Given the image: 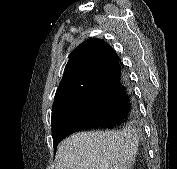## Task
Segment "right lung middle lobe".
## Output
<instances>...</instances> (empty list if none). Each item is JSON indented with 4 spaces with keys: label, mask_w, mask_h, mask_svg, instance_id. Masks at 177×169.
Masks as SVG:
<instances>
[{
    "label": "right lung middle lobe",
    "mask_w": 177,
    "mask_h": 169,
    "mask_svg": "<svg viewBox=\"0 0 177 169\" xmlns=\"http://www.w3.org/2000/svg\"><path fill=\"white\" fill-rule=\"evenodd\" d=\"M89 98V84L85 83L77 88L73 93L53 104L52 132L55 131L61 120L78 114L87 104Z\"/></svg>",
    "instance_id": "1"
}]
</instances>
